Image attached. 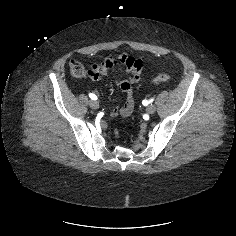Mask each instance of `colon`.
Wrapping results in <instances>:
<instances>
[{"mask_svg":"<svg viewBox=\"0 0 236 236\" xmlns=\"http://www.w3.org/2000/svg\"><path fill=\"white\" fill-rule=\"evenodd\" d=\"M69 71H70L71 75L75 78H81V77H84L87 74H89V71H87L81 63H79L75 60H71L69 62ZM170 77L171 76L169 73H161L153 79V82L154 83H164V82H167L170 79ZM114 133H115L116 137L119 136L118 129H115Z\"/></svg>","mask_w":236,"mask_h":236,"instance_id":"colon-1","label":"colon"}]
</instances>
